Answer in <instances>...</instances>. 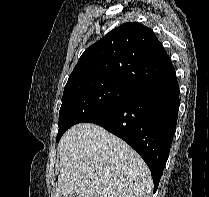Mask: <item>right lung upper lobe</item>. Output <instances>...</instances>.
I'll return each instance as SVG.
<instances>
[{"label": "right lung upper lobe", "instance_id": "cb5924a9", "mask_svg": "<svg viewBox=\"0 0 209 197\" xmlns=\"http://www.w3.org/2000/svg\"><path fill=\"white\" fill-rule=\"evenodd\" d=\"M173 69L155 33L140 23L128 22L85 50L66 85L110 79L138 88Z\"/></svg>", "mask_w": 209, "mask_h": 197}]
</instances>
